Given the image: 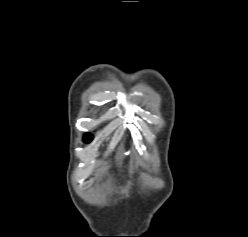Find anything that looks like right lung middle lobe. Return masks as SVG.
Returning a JSON list of instances; mask_svg holds the SVG:
<instances>
[{
    "label": "right lung middle lobe",
    "mask_w": 248,
    "mask_h": 237,
    "mask_svg": "<svg viewBox=\"0 0 248 237\" xmlns=\"http://www.w3.org/2000/svg\"><path fill=\"white\" fill-rule=\"evenodd\" d=\"M93 136L89 133L84 135V142H90L92 140Z\"/></svg>",
    "instance_id": "right-lung-middle-lobe-1"
}]
</instances>
